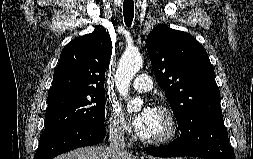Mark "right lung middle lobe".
<instances>
[{
    "label": "right lung middle lobe",
    "mask_w": 253,
    "mask_h": 159,
    "mask_svg": "<svg viewBox=\"0 0 253 159\" xmlns=\"http://www.w3.org/2000/svg\"><path fill=\"white\" fill-rule=\"evenodd\" d=\"M46 125L39 144L78 126L103 127L105 91L95 90L48 98Z\"/></svg>",
    "instance_id": "right-lung-middle-lobe-1"
}]
</instances>
